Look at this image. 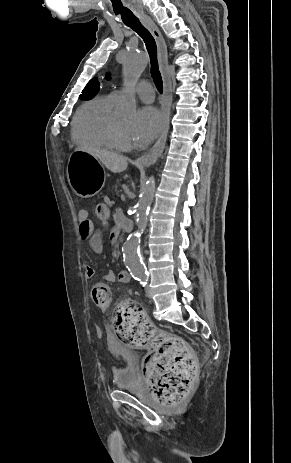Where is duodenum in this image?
<instances>
[{"instance_id":"duodenum-1","label":"duodenum","mask_w":291,"mask_h":463,"mask_svg":"<svg viewBox=\"0 0 291 463\" xmlns=\"http://www.w3.org/2000/svg\"><path fill=\"white\" fill-rule=\"evenodd\" d=\"M117 226H120L122 228V231H131L133 228V222L127 218L120 217Z\"/></svg>"}]
</instances>
